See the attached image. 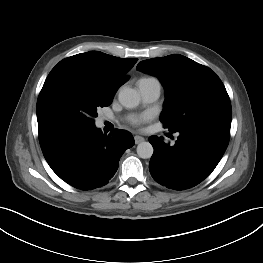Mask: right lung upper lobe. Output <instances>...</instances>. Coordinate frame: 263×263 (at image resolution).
<instances>
[{
	"mask_svg": "<svg viewBox=\"0 0 263 263\" xmlns=\"http://www.w3.org/2000/svg\"><path fill=\"white\" fill-rule=\"evenodd\" d=\"M138 59H122L99 51L80 53L60 61L48 76L75 72L89 76L105 85L112 93L129 78L125 75Z\"/></svg>",
	"mask_w": 263,
	"mask_h": 263,
	"instance_id": "1",
	"label": "right lung upper lobe"
}]
</instances>
